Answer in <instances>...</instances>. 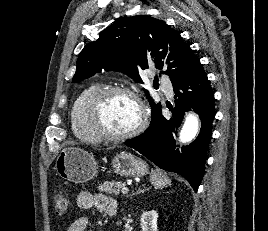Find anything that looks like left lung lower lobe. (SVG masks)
Here are the masks:
<instances>
[{"label":"left lung lower lobe","instance_id":"1","mask_svg":"<svg viewBox=\"0 0 268 231\" xmlns=\"http://www.w3.org/2000/svg\"><path fill=\"white\" fill-rule=\"evenodd\" d=\"M171 81L176 98L172 118L166 119L160 111L144 133L126 140L125 145L136 149L160 168L180 174L197 191L211 140L214 93L199 58ZM190 109L200 115L201 130L194 142L178 149L174 134L185 112Z\"/></svg>","mask_w":268,"mask_h":231}]
</instances>
